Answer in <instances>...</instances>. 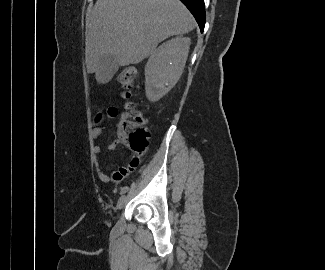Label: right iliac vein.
Here are the masks:
<instances>
[{"mask_svg":"<svg viewBox=\"0 0 325 270\" xmlns=\"http://www.w3.org/2000/svg\"><path fill=\"white\" fill-rule=\"evenodd\" d=\"M127 202V196L122 195L117 202V209H122Z\"/></svg>","mask_w":325,"mask_h":270,"instance_id":"63e3f726","label":"right iliac vein"}]
</instances>
